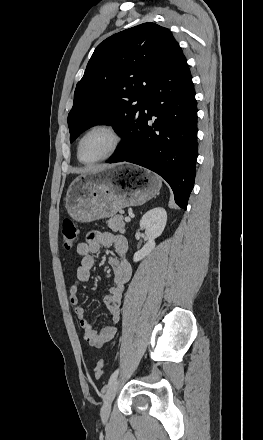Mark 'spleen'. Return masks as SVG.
Wrapping results in <instances>:
<instances>
[{
	"mask_svg": "<svg viewBox=\"0 0 263 440\" xmlns=\"http://www.w3.org/2000/svg\"><path fill=\"white\" fill-rule=\"evenodd\" d=\"M162 186V181L160 180V187Z\"/></svg>",
	"mask_w": 263,
	"mask_h": 440,
	"instance_id": "3e777b00",
	"label": "spleen"
}]
</instances>
